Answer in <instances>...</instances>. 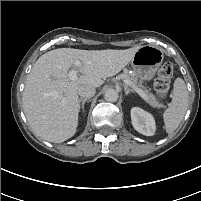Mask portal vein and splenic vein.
<instances>
[{
    "label": "portal vein and splenic vein",
    "instance_id": "portal-vein-and-splenic-vein-1",
    "mask_svg": "<svg viewBox=\"0 0 201 201\" xmlns=\"http://www.w3.org/2000/svg\"><path fill=\"white\" fill-rule=\"evenodd\" d=\"M75 66L76 67H80L81 66V62L80 61H75ZM77 73H78V71L76 70V69H73V70H71L70 72H69V74H68V77H69V79L70 80H73V81H75V80H77ZM124 83L126 84V85H131V83L128 81V80H124ZM139 95H140V97H142L144 100L145 99H147V95L140 89V88H135L134 89Z\"/></svg>",
    "mask_w": 201,
    "mask_h": 201
}]
</instances>
